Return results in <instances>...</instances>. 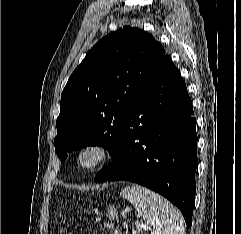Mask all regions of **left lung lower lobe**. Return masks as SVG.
Masks as SVG:
<instances>
[{
	"instance_id": "obj_1",
	"label": "left lung lower lobe",
	"mask_w": 241,
	"mask_h": 234,
	"mask_svg": "<svg viewBox=\"0 0 241 234\" xmlns=\"http://www.w3.org/2000/svg\"><path fill=\"white\" fill-rule=\"evenodd\" d=\"M196 119L186 85L165 54L132 102L112 163L95 182L127 180L163 195L192 225Z\"/></svg>"
}]
</instances>
